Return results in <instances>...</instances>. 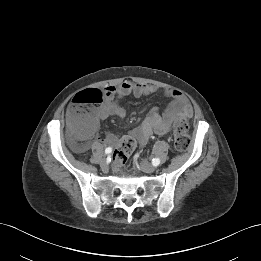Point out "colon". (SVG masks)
I'll return each mask as SVG.
<instances>
[{
    "label": "colon",
    "mask_w": 261,
    "mask_h": 261,
    "mask_svg": "<svg viewBox=\"0 0 261 261\" xmlns=\"http://www.w3.org/2000/svg\"><path fill=\"white\" fill-rule=\"evenodd\" d=\"M105 94L100 90H92L79 94L69 106V121L76 133L88 131L94 121V106L99 103ZM174 146L179 151L189 148L191 140L188 135V125L184 119H178L173 124ZM136 147V141L131 137L122 138L119 148L114 153V160L124 164L127 157Z\"/></svg>",
    "instance_id": "obj_1"
}]
</instances>
